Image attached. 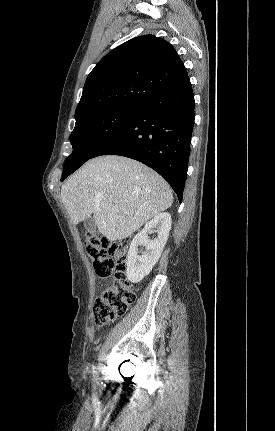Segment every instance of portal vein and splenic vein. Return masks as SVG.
Here are the masks:
<instances>
[{
	"instance_id": "obj_1",
	"label": "portal vein and splenic vein",
	"mask_w": 275,
	"mask_h": 431,
	"mask_svg": "<svg viewBox=\"0 0 275 431\" xmlns=\"http://www.w3.org/2000/svg\"><path fill=\"white\" fill-rule=\"evenodd\" d=\"M116 209V207H112V210H115Z\"/></svg>"
}]
</instances>
